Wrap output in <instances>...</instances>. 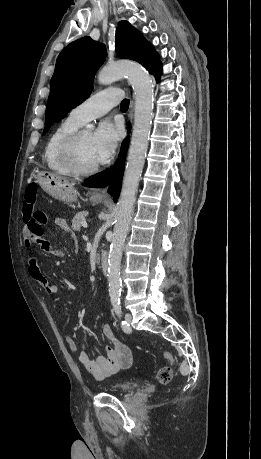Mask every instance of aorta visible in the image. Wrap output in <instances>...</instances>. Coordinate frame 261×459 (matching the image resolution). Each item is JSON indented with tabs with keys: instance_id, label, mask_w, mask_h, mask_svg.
Instances as JSON below:
<instances>
[{
	"instance_id": "obj_1",
	"label": "aorta",
	"mask_w": 261,
	"mask_h": 459,
	"mask_svg": "<svg viewBox=\"0 0 261 459\" xmlns=\"http://www.w3.org/2000/svg\"><path fill=\"white\" fill-rule=\"evenodd\" d=\"M123 77H127L133 88L135 108L132 138L108 256L109 295L112 301H117L120 298L122 250L145 163L153 115L154 90L152 79L141 65L132 62H118L108 65L99 72L98 82L108 85ZM86 128L92 130L93 125H87Z\"/></svg>"
}]
</instances>
